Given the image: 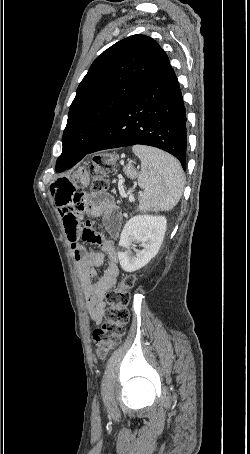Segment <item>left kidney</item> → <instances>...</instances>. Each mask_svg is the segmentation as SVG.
<instances>
[{
  "mask_svg": "<svg viewBox=\"0 0 250 454\" xmlns=\"http://www.w3.org/2000/svg\"><path fill=\"white\" fill-rule=\"evenodd\" d=\"M167 220L164 216L136 215L129 219L121 232L118 258L122 269L133 272L144 267L154 258L164 239ZM140 243L143 250L132 254L130 247Z\"/></svg>",
  "mask_w": 250,
  "mask_h": 454,
  "instance_id": "left-kidney-1",
  "label": "left kidney"
}]
</instances>
